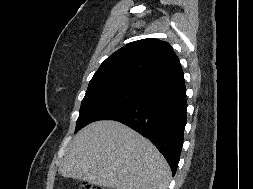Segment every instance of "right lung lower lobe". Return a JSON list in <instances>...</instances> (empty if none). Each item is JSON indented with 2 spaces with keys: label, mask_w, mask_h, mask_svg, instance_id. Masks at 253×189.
Segmentation results:
<instances>
[{
  "label": "right lung lower lobe",
  "mask_w": 253,
  "mask_h": 189,
  "mask_svg": "<svg viewBox=\"0 0 253 189\" xmlns=\"http://www.w3.org/2000/svg\"><path fill=\"white\" fill-rule=\"evenodd\" d=\"M184 80L149 90L138 101L102 119L121 122L147 137L163 154L174 176L186 125Z\"/></svg>",
  "instance_id": "obj_1"
}]
</instances>
